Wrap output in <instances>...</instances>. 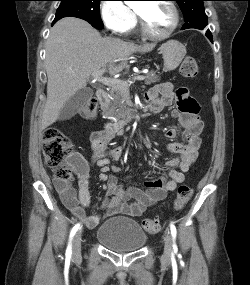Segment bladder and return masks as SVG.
I'll list each match as a JSON object with an SVG mask.
<instances>
[{
	"mask_svg": "<svg viewBox=\"0 0 250 285\" xmlns=\"http://www.w3.org/2000/svg\"><path fill=\"white\" fill-rule=\"evenodd\" d=\"M96 239L111 251L128 253L141 249L147 235L136 220L117 216L107 219L97 228Z\"/></svg>",
	"mask_w": 250,
	"mask_h": 285,
	"instance_id": "1",
	"label": "bladder"
}]
</instances>
